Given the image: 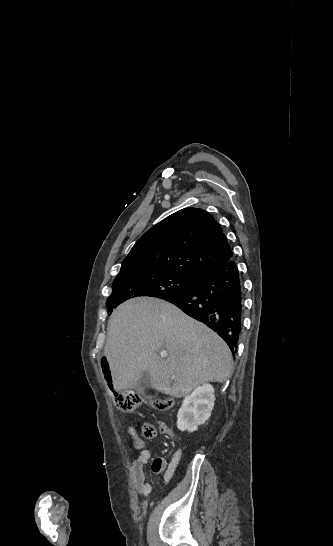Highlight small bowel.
Segmentation results:
<instances>
[{
    "label": "small bowel",
    "instance_id": "obj_1",
    "mask_svg": "<svg viewBox=\"0 0 333 546\" xmlns=\"http://www.w3.org/2000/svg\"><path fill=\"white\" fill-rule=\"evenodd\" d=\"M158 426L162 435L173 438V432L166 424L159 422ZM131 437L134 448L139 452L132 463L134 485L139 494L148 496L151 492V486L146 481L144 468L150 462L151 455L145 446V442L135 433V431L131 433ZM181 455V450H176L173 453L170 463H167L166 460L161 457L155 458L152 462V471L155 473L165 472V476L170 478L181 460Z\"/></svg>",
    "mask_w": 333,
    "mask_h": 546
}]
</instances>
